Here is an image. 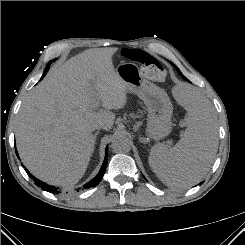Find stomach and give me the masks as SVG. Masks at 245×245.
<instances>
[{
  "instance_id": "1",
  "label": "stomach",
  "mask_w": 245,
  "mask_h": 245,
  "mask_svg": "<svg viewBox=\"0 0 245 245\" xmlns=\"http://www.w3.org/2000/svg\"><path fill=\"white\" fill-rule=\"evenodd\" d=\"M116 73L125 83L127 91L143 100L148 109L146 132L154 140L165 138L171 132L173 106L168 94L145 79L134 63H123Z\"/></svg>"
}]
</instances>
